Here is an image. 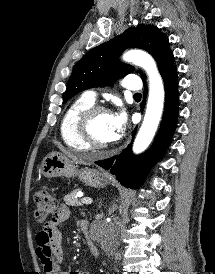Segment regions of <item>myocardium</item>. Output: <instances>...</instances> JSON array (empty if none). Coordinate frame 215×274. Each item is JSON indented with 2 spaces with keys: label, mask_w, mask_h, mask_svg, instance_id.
<instances>
[{
  "label": "myocardium",
  "mask_w": 215,
  "mask_h": 274,
  "mask_svg": "<svg viewBox=\"0 0 215 274\" xmlns=\"http://www.w3.org/2000/svg\"><path fill=\"white\" fill-rule=\"evenodd\" d=\"M100 113L110 114V110L102 105H93L83 112L78 121V132L81 139L89 148L96 150L106 149L113 144V141L109 143L99 142L93 135L92 125Z\"/></svg>",
  "instance_id": "myocardium-1"
}]
</instances>
